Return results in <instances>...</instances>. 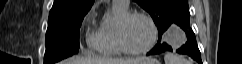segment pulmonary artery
Wrapping results in <instances>:
<instances>
[{"instance_id": "e3ab8cb5", "label": "pulmonary artery", "mask_w": 242, "mask_h": 64, "mask_svg": "<svg viewBox=\"0 0 242 64\" xmlns=\"http://www.w3.org/2000/svg\"><path fill=\"white\" fill-rule=\"evenodd\" d=\"M113 4L120 6L122 8H128L129 1L128 0H114Z\"/></svg>"}]
</instances>
